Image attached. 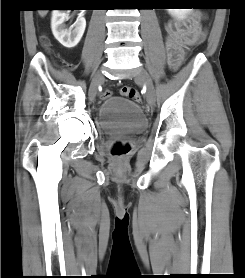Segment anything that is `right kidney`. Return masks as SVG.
I'll return each mask as SVG.
<instances>
[{
  "mask_svg": "<svg viewBox=\"0 0 245 278\" xmlns=\"http://www.w3.org/2000/svg\"><path fill=\"white\" fill-rule=\"evenodd\" d=\"M70 10H53L51 18V28L54 37L66 48L75 47L81 40L85 28L86 20L81 14L74 23L73 28H66L65 22L69 18Z\"/></svg>",
  "mask_w": 245,
  "mask_h": 278,
  "instance_id": "1",
  "label": "right kidney"
}]
</instances>
